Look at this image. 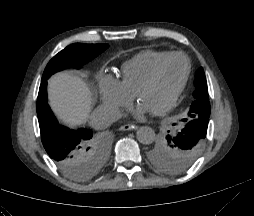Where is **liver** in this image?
Listing matches in <instances>:
<instances>
[{"mask_svg":"<svg viewBox=\"0 0 254 216\" xmlns=\"http://www.w3.org/2000/svg\"><path fill=\"white\" fill-rule=\"evenodd\" d=\"M49 104L64 123L77 126L86 122L93 105L87 84L70 72H60L49 80Z\"/></svg>","mask_w":254,"mask_h":216,"instance_id":"1","label":"liver"}]
</instances>
